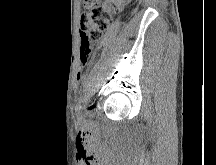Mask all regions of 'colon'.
Segmentation results:
<instances>
[{
  "mask_svg": "<svg viewBox=\"0 0 216 165\" xmlns=\"http://www.w3.org/2000/svg\"><path fill=\"white\" fill-rule=\"evenodd\" d=\"M130 0H84L86 12L81 17L80 57L85 62L94 44L109 27L114 14Z\"/></svg>",
  "mask_w": 216,
  "mask_h": 165,
  "instance_id": "obj_1",
  "label": "colon"
}]
</instances>
